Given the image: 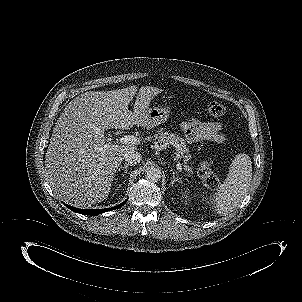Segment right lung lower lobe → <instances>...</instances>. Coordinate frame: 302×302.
<instances>
[{"label": "right lung lower lobe", "instance_id": "obj_1", "mask_svg": "<svg viewBox=\"0 0 302 302\" xmlns=\"http://www.w3.org/2000/svg\"><path fill=\"white\" fill-rule=\"evenodd\" d=\"M127 201V200H126ZM126 201H124L123 203L115 206V207H112V208H105V209H78V208H75V207H71V206H68L66 205L70 210L76 212V213H80V214H83V215H98V214H101V213H104V212H107V211H110V210H115V209H118L120 207H122Z\"/></svg>", "mask_w": 302, "mask_h": 302}]
</instances>
